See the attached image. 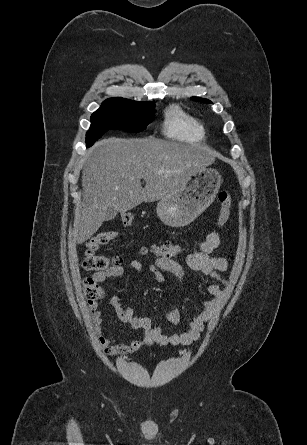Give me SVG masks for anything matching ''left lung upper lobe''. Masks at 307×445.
<instances>
[{"label":"left lung upper lobe","mask_w":307,"mask_h":445,"mask_svg":"<svg viewBox=\"0 0 307 445\" xmlns=\"http://www.w3.org/2000/svg\"><path fill=\"white\" fill-rule=\"evenodd\" d=\"M194 100L197 101H201V102H205V103H212L210 100L208 99H202V98H198V97H193Z\"/></svg>","instance_id":"1"}]
</instances>
